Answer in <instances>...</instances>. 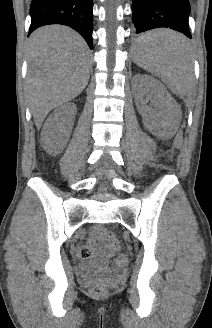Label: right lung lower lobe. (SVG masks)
<instances>
[{
	"label": "right lung lower lobe",
	"instance_id": "98d812e1",
	"mask_svg": "<svg viewBox=\"0 0 212 328\" xmlns=\"http://www.w3.org/2000/svg\"><path fill=\"white\" fill-rule=\"evenodd\" d=\"M29 34L47 24L67 25L77 32L93 48V0H32Z\"/></svg>",
	"mask_w": 212,
	"mask_h": 328
}]
</instances>
